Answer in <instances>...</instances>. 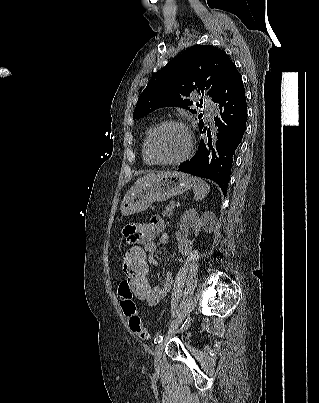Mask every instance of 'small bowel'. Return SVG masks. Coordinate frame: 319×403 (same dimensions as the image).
Returning <instances> with one entry per match:
<instances>
[{
    "instance_id": "c3829d8e",
    "label": "small bowel",
    "mask_w": 319,
    "mask_h": 403,
    "mask_svg": "<svg viewBox=\"0 0 319 403\" xmlns=\"http://www.w3.org/2000/svg\"><path fill=\"white\" fill-rule=\"evenodd\" d=\"M165 224L160 217H153L148 224H122L121 226V241L122 242H142L144 249V258H148V264L157 266L158 262L154 258L157 250L155 239L158 238V243L165 245L168 243V235L164 232ZM174 283L173 275L170 271H166L164 284L162 286L154 284L152 296H149L148 305L156 306L171 290ZM131 289V288H130ZM129 296H132L135 301V290L131 289Z\"/></svg>"
}]
</instances>
